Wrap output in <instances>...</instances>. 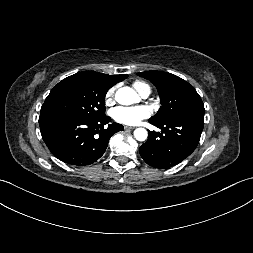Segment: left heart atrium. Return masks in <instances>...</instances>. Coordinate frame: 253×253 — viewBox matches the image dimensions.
Here are the masks:
<instances>
[{
    "label": "left heart atrium",
    "mask_w": 253,
    "mask_h": 253,
    "mask_svg": "<svg viewBox=\"0 0 253 253\" xmlns=\"http://www.w3.org/2000/svg\"><path fill=\"white\" fill-rule=\"evenodd\" d=\"M150 115V110L146 106L116 107L112 111L115 121L125 125H135Z\"/></svg>",
    "instance_id": "39dd6f15"
}]
</instances>
